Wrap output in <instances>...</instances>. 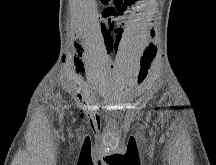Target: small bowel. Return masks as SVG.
<instances>
[{
	"instance_id": "1",
	"label": "small bowel",
	"mask_w": 216,
	"mask_h": 165,
	"mask_svg": "<svg viewBox=\"0 0 216 165\" xmlns=\"http://www.w3.org/2000/svg\"><path fill=\"white\" fill-rule=\"evenodd\" d=\"M137 0H130L125 6L107 8L102 13L101 35L105 41L106 49L109 54L117 53L125 36L126 27L122 18L127 6L135 4ZM146 2V1H145ZM82 66L77 63L76 73L82 72Z\"/></svg>"
}]
</instances>
